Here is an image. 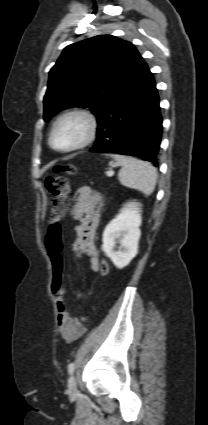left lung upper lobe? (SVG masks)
I'll list each match as a JSON object with an SVG mask.
<instances>
[{
    "instance_id": "obj_1",
    "label": "left lung upper lobe",
    "mask_w": 208,
    "mask_h": 425,
    "mask_svg": "<svg viewBox=\"0 0 208 425\" xmlns=\"http://www.w3.org/2000/svg\"><path fill=\"white\" fill-rule=\"evenodd\" d=\"M143 64L130 42L111 35L67 46L49 73L44 119L71 107H89L98 119Z\"/></svg>"
}]
</instances>
